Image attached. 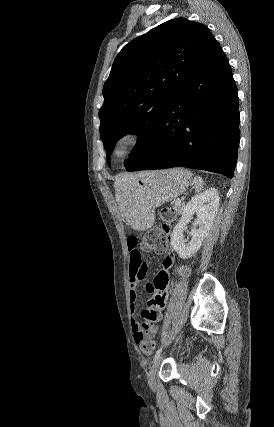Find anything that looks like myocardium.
Returning a JSON list of instances; mask_svg holds the SVG:
<instances>
[{"label":"myocardium","instance_id":"f54148a6","mask_svg":"<svg viewBox=\"0 0 274 427\" xmlns=\"http://www.w3.org/2000/svg\"><path fill=\"white\" fill-rule=\"evenodd\" d=\"M142 141V134L134 129H126L118 133L112 140L109 148L111 158L116 162H125L137 151ZM126 144V150L122 156H118L116 149L120 143Z\"/></svg>","mask_w":274,"mask_h":427}]
</instances>
